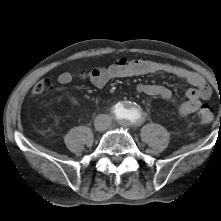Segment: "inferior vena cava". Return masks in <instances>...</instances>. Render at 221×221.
Here are the masks:
<instances>
[{
  "instance_id": "1",
  "label": "inferior vena cava",
  "mask_w": 221,
  "mask_h": 221,
  "mask_svg": "<svg viewBox=\"0 0 221 221\" xmlns=\"http://www.w3.org/2000/svg\"><path fill=\"white\" fill-rule=\"evenodd\" d=\"M111 118L109 115L100 114L95 118V127L97 130H105L110 126Z\"/></svg>"
}]
</instances>
